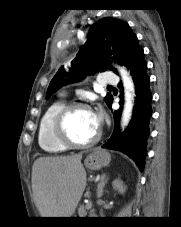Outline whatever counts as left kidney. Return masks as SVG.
Listing matches in <instances>:
<instances>
[{"label":"left kidney","instance_id":"obj_1","mask_svg":"<svg viewBox=\"0 0 181 227\" xmlns=\"http://www.w3.org/2000/svg\"><path fill=\"white\" fill-rule=\"evenodd\" d=\"M113 188L118 190L120 193L125 192V187L123 186V182L120 179H116L113 181Z\"/></svg>","mask_w":181,"mask_h":227}]
</instances>
